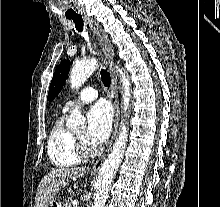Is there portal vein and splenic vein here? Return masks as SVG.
I'll return each instance as SVG.
<instances>
[{
    "label": "portal vein and splenic vein",
    "instance_id": "obj_1",
    "mask_svg": "<svg viewBox=\"0 0 220 207\" xmlns=\"http://www.w3.org/2000/svg\"><path fill=\"white\" fill-rule=\"evenodd\" d=\"M79 205V201L78 200H74L73 201V207H78Z\"/></svg>",
    "mask_w": 220,
    "mask_h": 207
}]
</instances>
